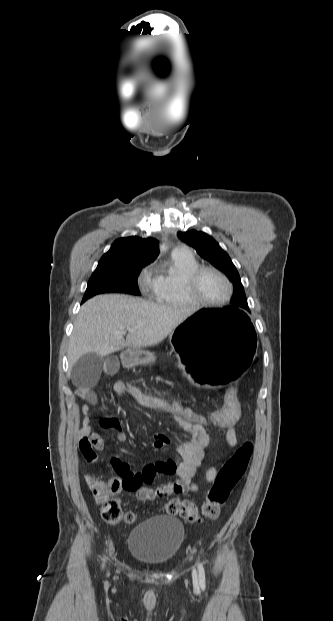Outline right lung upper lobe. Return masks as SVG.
<instances>
[{
  "label": "right lung upper lobe",
  "mask_w": 333,
  "mask_h": 621,
  "mask_svg": "<svg viewBox=\"0 0 333 621\" xmlns=\"http://www.w3.org/2000/svg\"><path fill=\"white\" fill-rule=\"evenodd\" d=\"M159 254L158 241L154 238L142 239L137 236L117 239L110 250L102 256L104 262H136L150 264Z\"/></svg>",
  "instance_id": "1"
}]
</instances>
